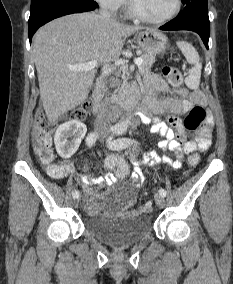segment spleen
<instances>
[{
    "label": "spleen",
    "instance_id": "3e777b00",
    "mask_svg": "<svg viewBox=\"0 0 233 284\" xmlns=\"http://www.w3.org/2000/svg\"><path fill=\"white\" fill-rule=\"evenodd\" d=\"M178 47L181 49L187 62L193 67L189 70L188 76L185 79L187 87L191 89H197L199 87L201 78L202 63L196 49L188 42L180 41L177 42Z\"/></svg>",
    "mask_w": 233,
    "mask_h": 284
}]
</instances>
